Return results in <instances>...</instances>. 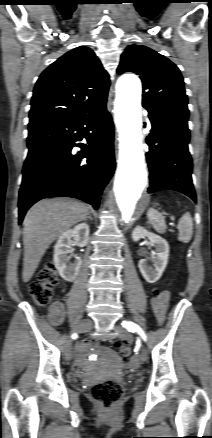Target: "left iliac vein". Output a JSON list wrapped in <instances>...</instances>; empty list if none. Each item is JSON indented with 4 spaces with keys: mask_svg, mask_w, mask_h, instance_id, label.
Wrapping results in <instances>:
<instances>
[{
    "mask_svg": "<svg viewBox=\"0 0 212 438\" xmlns=\"http://www.w3.org/2000/svg\"><path fill=\"white\" fill-rule=\"evenodd\" d=\"M117 330H118V332H119L118 337H119L120 339H122V340H127V341L131 340V334H130L129 332H127L125 329H123V328H117ZM139 357H140V360H141V361H146V359H147V350H146L145 347L142 348Z\"/></svg>",
    "mask_w": 212,
    "mask_h": 438,
    "instance_id": "left-iliac-vein-1",
    "label": "left iliac vein"
}]
</instances>
